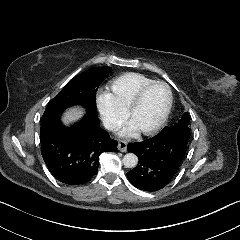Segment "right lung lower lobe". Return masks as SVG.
Instances as JSON below:
<instances>
[{"label": "right lung lower lobe", "instance_id": "98d812e1", "mask_svg": "<svg viewBox=\"0 0 240 240\" xmlns=\"http://www.w3.org/2000/svg\"><path fill=\"white\" fill-rule=\"evenodd\" d=\"M41 153L52 175L67 185L88 182L97 173L100 155L116 152L117 141L99 126L96 115L86 114L66 127L60 118L41 125Z\"/></svg>", "mask_w": 240, "mask_h": 240}]
</instances>
